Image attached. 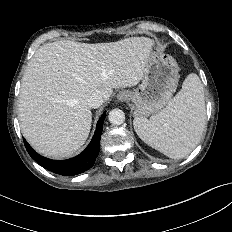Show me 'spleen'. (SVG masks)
Masks as SVG:
<instances>
[{
    "mask_svg": "<svg viewBox=\"0 0 232 232\" xmlns=\"http://www.w3.org/2000/svg\"><path fill=\"white\" fill-rule=\"evenodd\" d=\"M205 114L203 85L191 73L163 111L150 119L136 117L134 128L146 144L169 158L179 159L187 156L200 141Z\"/></svg>",
    "mask_w": 232,
    "mask_h": 232,
    "instance_id": "3e777b00",
    "label": "spleen"
}]
</instances>
